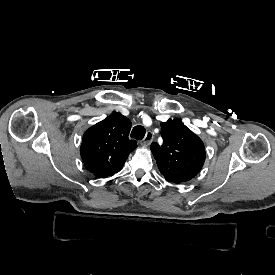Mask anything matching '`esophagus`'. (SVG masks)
Wrapping results in <instances>:
<instances>
[{
  "mask_svg": "<svg viewBox=\"0 0 275 275\" xmlns=\"http://www.w3.org/2000/svg\"><path fill=\"white\" fill-rule=\"evenodd\" d=\"M153 140V132L152 131H148L145 135V137L143 138V140L141 141V145L143 147H147L151 144Z\"/></svg>",
  "mask_w": 275,
  "mask_h": 275,
  "instance_id": "1",
  "label": "esophagus"
}]
</instances>
